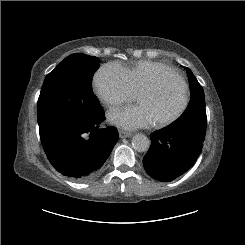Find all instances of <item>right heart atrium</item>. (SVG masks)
I'll use <instances>...</instances> for the list:
<instances>
[{
    "label": "right heart atrium",
    "mask_w": 245,
    "mask_h": 245,
    "mask_svg": "<svg viewBox=\"0 0 245 245\" xmlns=\"http://www.w3.org/2000/svg\"><path fill=\"white\" fill-rule=\"evenodd\" d=\"M92 84L98 98L109 107L120 106L136 95L127 70L118 63L100 67Z\"/></svg>",
    "instance_id": "obj_1"
}]
</instances>
